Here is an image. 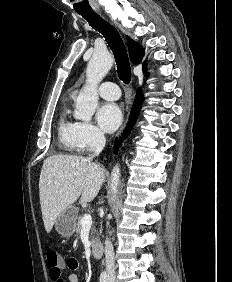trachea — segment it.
<instances>
[{"mask_svg":"<svg viewBox=\"0 0 232 282\" xmlns=\"http://www.w3.org/2000/svg\"><path fill=\"white\" fill-rule=\"evenodd\" d=\"M80 15L88 21L93 29L104 36L114 54L118 77L128 84L131 80V67L126 47L119 32L95 12L80 13Z\"/></svg>","mask_w":232,"mask_h":282,"instance_id":"trachea-1","label":"trachea"}]
</instances>
